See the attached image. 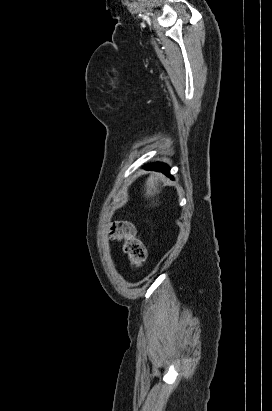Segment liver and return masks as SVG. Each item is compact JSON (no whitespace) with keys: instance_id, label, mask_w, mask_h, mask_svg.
<instances>
[{"instance_id":"obj_1","label":"liver","mask_w":272,"mask_h":411,"mask_svg":"<svg viewBox=\"0 0 272 411\" xmlns=\"http://www.w3.org/2000/svg\"><path fill=\"white\" fill-rule=\"evenodd\" d=\"M157 187H158L157 180L154 178V176H150L146 182V196L152 197L155 194H158L159 190Z\"/></svg>"}]
</instances>
